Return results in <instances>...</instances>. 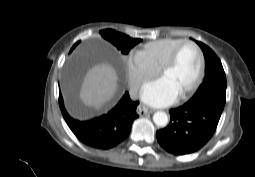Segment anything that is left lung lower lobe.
I'll return each mask as SVG.
<instances>
[{
  "instance_id": "1",
  "label": "left lung lower lobe",
  "mask_w": 255,
  "mask_h": 177,
  "mask_svg": "<svg viewBox=\"0 0 255 177\" xmlns=\"http://www.w3.org/2000/svg\"><path fill=\"white\" fill-rule=\"evenodd\" d=\"M224 105L217 99H205L171 109L169 125L156 133L159 144L174 155L198 151L215 133Z\"/></svg>"
}]
</instances>
